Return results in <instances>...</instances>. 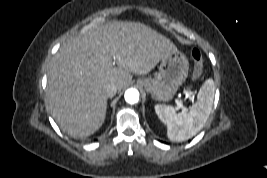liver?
Segmentation results:
<instances>
[{"label": "liver", "instance_id": "liver-1", "mask_svg": "<svg viewBox=\"0 0 267 178\" xmlns=\"http://www.w3.org/2000/svg\"><path fill=\"white\" fill-rule=\"evenodd\" d=\"M172 50L168 38L137 22L114 21L68 40L48 70L52 117L71 137H88L105 120L106 85L122 89L132 74L149 73Z\"/></svg>", "mask_w": 267, "mask_h": 178}]
</instances>
